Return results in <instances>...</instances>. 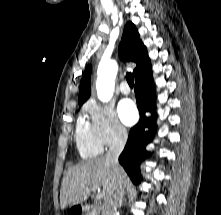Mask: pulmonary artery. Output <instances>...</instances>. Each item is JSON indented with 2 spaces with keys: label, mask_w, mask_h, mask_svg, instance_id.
I'll return each mask as SVG.
<instances>
[{
  "label": "pulmonary artery",
  "mask_w": 221,
  "mask_h": 215,
  "mask_svg": "<svg viewBox=\"0 0 221 215\" xmlns=\"http://www.w3.org/2000/svg\"><path fill=\"white\" fill-rule=\"evenodd\" d=\"M120 91L123 94H129L130 93V88L126 82H122L119 86Z\"/></svg>",
  "instance_id": "e3ab8cb5"
}]
</instances>
